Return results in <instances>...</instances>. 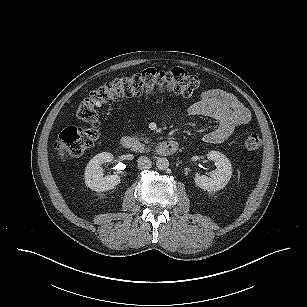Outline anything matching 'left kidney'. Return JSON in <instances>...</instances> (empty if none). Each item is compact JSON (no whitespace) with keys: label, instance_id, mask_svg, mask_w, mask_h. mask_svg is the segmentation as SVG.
I'll return each instance as SVG.
<instances>
[{"label":"left kidney","instance_id":"1","mask_svg":"<svg viewBox=\"0 0 307 307\" xmlns=\"http://www.w3.org/2000/svg\"><path fill=\"white\" fill-rule=\"evenodd\" d=\"M207 158L215 162L217 169L212 171L210 177L197 174L194 178L195 184L208 192L223 189L232 176V167L228 158L218 151H210Z\"/></svg>","mask_w":307,"mask_h":307}]
</instances>
